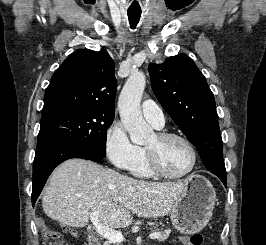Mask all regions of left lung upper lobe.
Here are the masks:
<instances>
[{"label":"left lung upper lobe","instance_id":"1","mask_svg":"<svg viewBox=\"0 0 266 245\" xmlns=\"http://www.w3.org/2000/svg\"><path fill=\"white\" fill-rule=\"evenodd\" d=\"M152 89L162 107L213 174L226 176L215 100L206 79L185 54L148 67Z\"/></svg>","mask_w":266,"mask_h":245}]
</instances>
